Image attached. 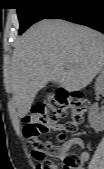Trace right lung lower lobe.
<instances>
[{
	"instance_id": "obj_1",
	"label": "right lung lower lobe",
	"mask_w": 104,
	"mask_h": 169,
	"mask_svg": "<svg viewBox=\"0 0 104 169\" xmlns=\"http://www.w3.org/2000/svg\"><path fill=\"white\" fill-rule=\"evenodd\" d=\"M47 19H64L104 33V0H72Z\"/></svg>"
}]
</instances>
